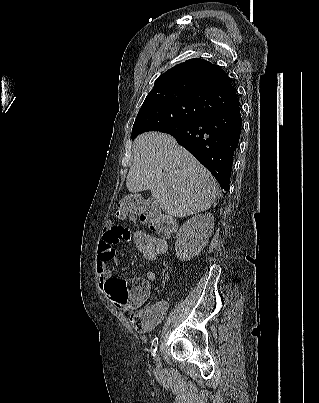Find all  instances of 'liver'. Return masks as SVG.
<instances>
[{
  "instance_id": "6515ba94",
  "label": "liver",
  "mask_w": 319,
  "mask_h": 403,
  "mask_svg": "<svg viewBox=\"0 0 319 403\" xmlns=\"http://www.w3.org/2000/svg\"><path fill=\"white\" fill-rule=\"evenodd\" d=\"M132 150L128 190H150L166 214L187 217L208 210L218 197V184L211 173L172 136L143 133L134 140Z\"/></svg>"
}]
</instances>
